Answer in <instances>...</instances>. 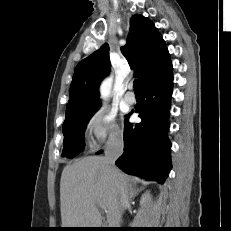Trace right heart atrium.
<instances>
[{
	"label": "right heart atrium",
	"instance_id": "right-heart-atrium-1",
	"mask_svg": "<svg viewBox=\"0 0 231 231\" xmlns=\"http://www.w3.org/2000/svg\"><path fill=\"white\" fill-rule=\"evenodd\" d=\"M84 133L93 148L122 139V131L116 121V115L106 107L98 108L88 117Z\"/></svg>",
	"mask_w": 231,
	"mask_h": 231
}]
</instances>
